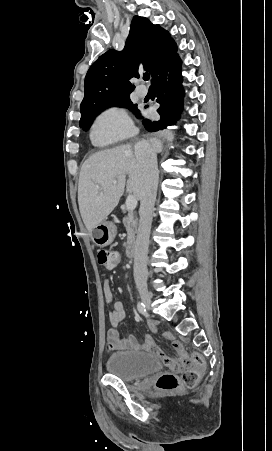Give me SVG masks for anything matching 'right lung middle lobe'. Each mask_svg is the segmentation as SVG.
I'll use <instances>...</instances> for the list:
<instances>
[{
  "label": "right lung middle lobe",
  "mask_w": 272,
  "mask_h": 451,
  "mask_svg": "<svg viewBox=\"0 0 272 451\" xmlns=\"http://www.w3.org/2000/svg\"><path fill=\"white\" fill-rule=\"evenodd\" d=\"M111 106L125 107V108L131 109L133 112H136V113L140 112L139 110H137V106L132 104L130 98L116 100V101H112V102L88 109L84 112H81L80 127H82L85 131L88 130L93 119L102 110H104L108 107H111Z\"/></svg>",
  "instance_id": "obj_1"
}]
</instances>
